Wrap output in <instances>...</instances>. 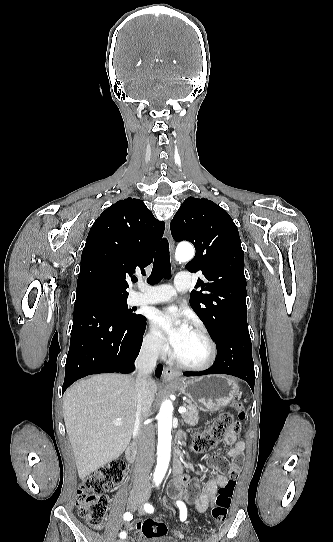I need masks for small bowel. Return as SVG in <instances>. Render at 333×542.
I'll return each mask as SVG.
<instances>
[{"mask_svg":"<svg viewBox=\"0 0 333 542\" xmlns=\"http://www.w3.org/2000/svg\"><path fill=\"white\" fill-rule=\"evenodd\" d=\"M224 441L227 445L232 446V448L227 452L228 456L232 457L234 460L242 458L245 449V442L243 440L238 439L237 435L231 432L225 436ZM209 458L211 462L216 463L220 461L221 457L219 453L214 452L210 454ZM189 481L190 477L188 474L180 473L179 475L174 476L166 487L167 495L173 499H183L187 501L189 496L185 490V487ZM235 483L236 479L227 478L222 474H217L215 477L210 479L195 498V506L197 511L203 513L213 506L219 487L227 484L235 485ZM140 527V522L125 523L121 530L124 532L138 531ZM175 535L181 539L185 537V535L180 531H176ZM129 542H135V540L129 539Z\"/></svg>","mask_w":333,"mask_h":542,"instance_id":"1","label":"small bowel"}]
</instances>
